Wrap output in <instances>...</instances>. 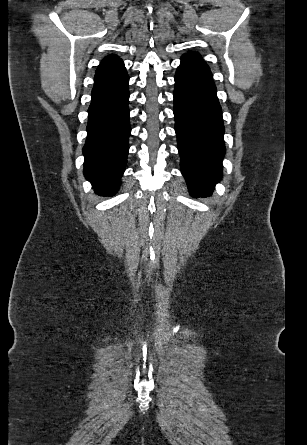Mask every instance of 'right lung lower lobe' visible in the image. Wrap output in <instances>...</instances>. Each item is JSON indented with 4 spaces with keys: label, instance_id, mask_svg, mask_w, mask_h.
I'll use <instances>...</instances> for the list:
<instances>
[{
    "label": "right lung lower lobe",
    "instance_id": "right-lung-lower-lobe-1",
    "mask_svg": "<svg viewBox=\"0 0 307 445\" xmlns=\"http://www.w3.org/2000/svg\"><path fill=\"white\" fill-rule=\"evenodd\" d=\"M83 148L84 175L99 195H114L128 155L129 91L124 64L95 74Z\"/></svg>",
    "mask_w": 307,
    "mask_h": 445
}]
</instances>
